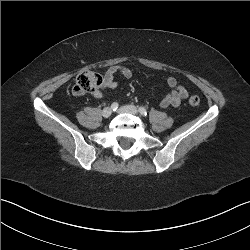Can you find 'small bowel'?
I'll use <instances>...</instances> for the list:
<instances>
[{"mask_svg": "<svg viewBox=\"0 0 250 250\" xmlns=\"http://www.w3.org/2000/svg\"><path fill=\"white\" fill-rule=\"evenodd\" d=\"M116 75H122L125 78H130L133 75V71L131 68L126 66L115 65L109 67L104 73L101 88L93 91L92 95L95 98H103L104 90L116 88L118 86V83L115 80ZM166 84L169 91L161 99L159 103L160 107L166 108L169 106H179L182 100L188 97L189 90L185 86L178 85L177 80L171 76L166 79Z\"/></svg>", "mask_w": 250, "mask_h": 250, "instance_id": "c3829d8e", "label": "small bowel"}]
</instances>
